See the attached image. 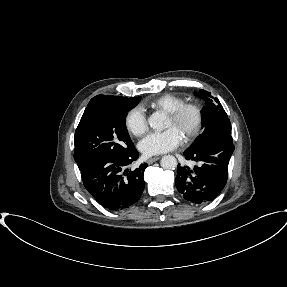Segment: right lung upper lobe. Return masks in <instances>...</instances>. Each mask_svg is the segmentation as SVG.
Here are the masks:
<instances>
[{
    "label": "right lung upper lobe",
    "instance_id": "right-lung-upper-lobe-1",
    "mask_svg": "<svg viewBox=\"0 0 287 287\" xmlns=\"http://www.w3.org/2000/svg\"><path fill=\"white\" fill-rule=\"evenodd\" d=\"M116 98H118L117 96H109V95H97L94 98H92L88 104V106L86 107L83 116L80 120V122H83L85 119H87L92 113H94L96 110L99 109V107L101 106V104H103L104 102H109V101H113Z\"/></svg>",
    "mask_w": 287,
    "mask_h": 287
}]
</instances>
